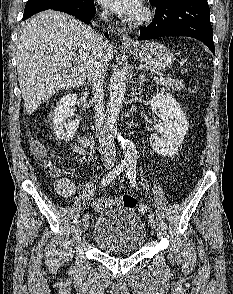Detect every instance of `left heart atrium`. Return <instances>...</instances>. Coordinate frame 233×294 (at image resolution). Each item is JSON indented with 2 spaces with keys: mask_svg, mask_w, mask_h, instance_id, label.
Returning <instances> with one entry per match:
<instances>
[{
  "mask_svg": "<svg viewBox=\"0 0 233 294\" xmlns=\"http://www.w3.org/2000/svg\"><path fill=\"white\" fill-rule=\"evenodd\" d=\"M102 5L113 12L127 16L136 17L142 10L141 0H98Z\"/></svg>",
  "mask_w": 233,
  "mask_h": 294,
  "instance_id": "obj_1",
  "label": "left heart atrium"
}]
</instances>
